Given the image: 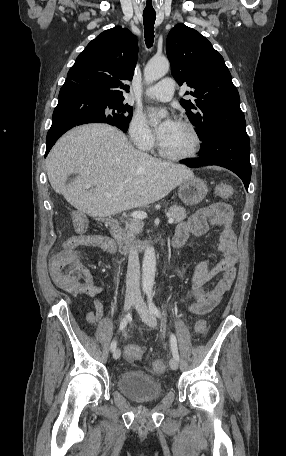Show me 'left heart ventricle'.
<instances>
[{"label": "left heart ventricle", "mask_w": 286, "mask_h": 456, "mask_svg": "<svg viewBox=\"0 0 286 456\" xmlns=\"http://www.w3.org/2000/svg\"><path fill=\"white\" fill-rule=\"evenodd\" d=\"M160 141L167 152L175 155L188 154L195 146L191 132L178 123L164 137L160 138Z\"/></svg>", "instance_id": "left-heart-ventricle-1"}]
</instances>
